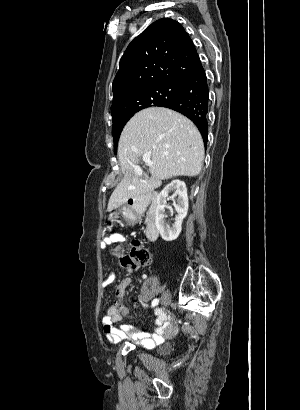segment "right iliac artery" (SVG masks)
Masks as SVG:
<instances>
[{"instance_id": "82829eb1", "label": "right iliac artery", "mask_w": 300, "mask_h": 410, "mask_svg": "<svg viewBox=\"0 0 300 410\" xmlns=\"http://www.w3.org/2000/svg\"><path fill=\"white\" fill-rule=\"evenodd\" d=\"M158 303H159V299L158 298L154 299L152 301V307H155L156 305H158Z\"/></svg>"}]
</instances>
